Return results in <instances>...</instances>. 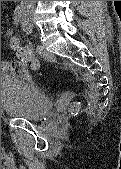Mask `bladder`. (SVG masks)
Returning a JSON list of instances; mask_svg holds the SVG:
<instances>
[{
  "label": "bladder",
  "instance_id": "obj_1",
  "mask_svg": "<svg viewBox=\"0 0 121 169\" xmlns=\"http://www.w3.org/2000/svg\"><path fill=\"white\" fill-rule=\"evenodd\" d=\"M1 106L9 116L36 120L52 110L53 102L41 89L22 78L8 75L1 77Z\"/></svg>",
  "mask_w": 121,
  "mask_h": 169
}]
</instances>
